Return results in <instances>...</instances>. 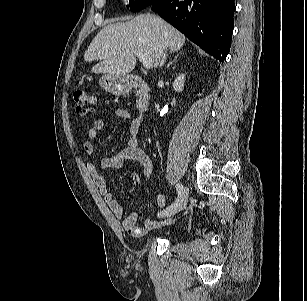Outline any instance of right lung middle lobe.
Masks as SVG:
<instances>
[{
	"mask_svg": "<svg viewBox=\"0 0 307 301\" xmlns=\"http://www.w3.org/2000/svg\"><path fill=\"white\" fill-rule=\"evenodd\" d=\"M157 1H159V0H140V1L130 0L127 7H129L131 9V11L137 12V11H140V10L150 6V5H153Z\"/></svg>",
	"mask_w": 307,
	"mask_h": 301,
	"instance_id": "dd1d6c3e",
	"label": "right lung middle lobe"
}]
</instances>
